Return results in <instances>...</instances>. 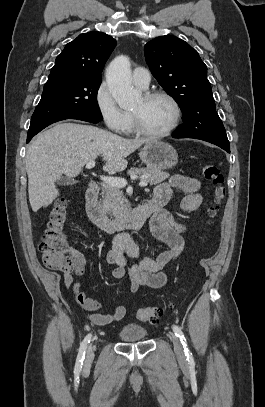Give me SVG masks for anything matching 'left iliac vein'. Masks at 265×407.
<instances>
[{
    "label": "left iliac vein",
    "instance_id": "4c4485c4",
    "mask_svg": "<svg viewBox=\"0 0 265 407\" xmlns=\"http://www.w3.org/2000/svg\"><path fill=\"white\" fill-rule=\"evenodd\" d=\"M169 338L171 339L173 346H174V351L175 353L180 357L183 358V349H182V345L180 342V339L178 336H176L174 333L169 332Z\"/></svg>",
    "mask_w": 265,
    "mask_h": 407
}]
</instances>
